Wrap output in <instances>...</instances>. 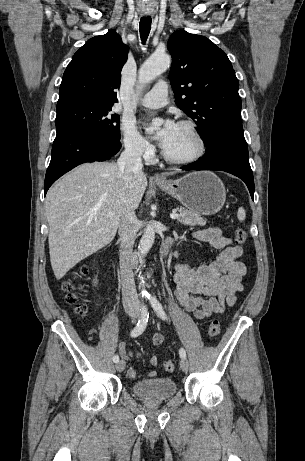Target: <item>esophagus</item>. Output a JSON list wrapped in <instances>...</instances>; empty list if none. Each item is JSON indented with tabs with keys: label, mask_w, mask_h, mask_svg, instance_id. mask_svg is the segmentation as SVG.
<instances>
[{
	"label": "esophagus",
	"mask_w": 305,
	"mask_h": 461,
	"mask_svg": "<svg viewBox=\"0 0 305 461\" xmlns=\"http://www.w3.org/2000/svg\"><path fill=\"white\" fill-rule=\"evenodd\" d=\"M164 179H165L164 176H162L161 174H158V173L154 174V176H153L154 181H163Z\"/></svg>",
	"instance_id": "34e87169"
}]
</instances>
